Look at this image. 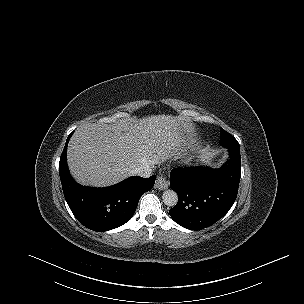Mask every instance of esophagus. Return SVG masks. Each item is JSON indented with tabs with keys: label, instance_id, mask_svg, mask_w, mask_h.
I'll return each instance as SVG.
<instances>
[{
	"label": "esophagus",
	"instance_id": "esophagus-1",
	"mask_svg": "<svg viewBox=\"0 0 304 304\" xmlns=\"http://www.w3.org/2000/svg\"><path fill=\"white\" fill-rule=\"evenodd\" d=\"M169 182L164 176H158L155 182V188L165 190L168 188Z\"/></svg>",
	"mask_w": 304,
	"mask_h": 304
}]
</instances>
